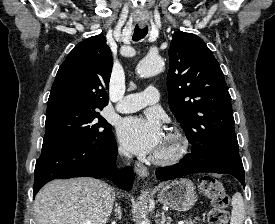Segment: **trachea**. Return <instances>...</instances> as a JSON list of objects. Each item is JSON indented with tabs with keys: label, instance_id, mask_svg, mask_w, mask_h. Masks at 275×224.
Wrapping results in <instances>:
<instances>
[{
	"label": "trachea",
	"instance_id": "trachea-1",
	"mask_svg": "<svg viewBox=\"0 0 275 224\" xmlns=\"http://www.w3.org/2000/svg\"><path fill=\"white\" fill-rule=\"evenodd\" d=\"M147 33H148V27L141 29L138 26H136L134 29L133 40L139 41L142 38H144L147 35Z\"/></svg>",
	"mask_w": 275,
	"mask_h": 224
}]
</instances>
